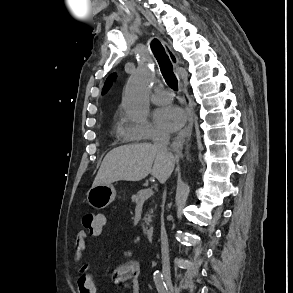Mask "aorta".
<instances>
[{
	"mask_svg": "<svg viewBox=\"0 0 293 293\" xmlns=\"http://www.w3.org/2000/svg\"><path fill=\"white\" fill-rule=\"evenodd\" d=\"M155 73L148 62L139 65L125 88L123 106L135 120L143 121L149 115L148 94Z\"/></svg>",
	"mask_w": 293,
	"mask_h": 293,
	"instance_id": "762f6f07",
	"label": "aorta"
}]
</instances>
